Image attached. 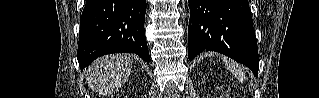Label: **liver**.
<instances>
[{
  "mask_svg": "<svg viewBox=\"0 0 319 98\" xmlns=\"http://www.w3.org/2000/svg\"><path fill=\"white\" fill-rule=\"evenodd\" d=\"M131 56L114 54L94 61L86 72V81L93 92L105 97L117 91L129 78Z\"/></svg>",
  "mask_w": 319,
  "mask_h": 98,
  "instance_id": "1",
  "label": "liver"
}]
</instances>
